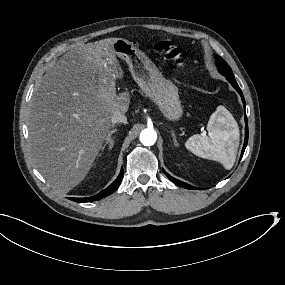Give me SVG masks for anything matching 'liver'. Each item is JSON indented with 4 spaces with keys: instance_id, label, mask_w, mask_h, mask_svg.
<instances>
[{
    "instance_id": "obj_1",
    "label": "liver",
    "mask_w": 285,
    "mask_h": 285,
    "mask_svg": "<svg viewBox=\"0 0 285 285\" xmlns=\"http://www.w3.org/2000/svg\"><path fill=\"white\" fill-rule=\"evenodd\" d=\"M110 38L77 46L36 83L28 115L30 155L47 183L65 194L95 163L115 112L127 113L128 92L116 94L124 72Z\"/></svg>"
}]
</instances>
